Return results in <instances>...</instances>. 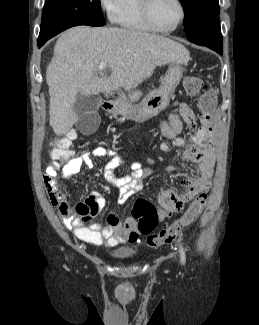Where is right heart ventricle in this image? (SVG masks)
Here are the masks:
<instances>
[{"label": "right heart ventricle", "mask_w": 259, "mask_h": 325, "mask_svg": "<svg viewBox=\"0 0 259 325\" xmlns=\"http://www.w3.org/2000/svg\"><path fill=\"white\" fill-rule=\"evenodd\" d=\"M113 20L123 28L139 32H150L142 16L140 0H120L119 8Z\"/></svg>", "instance_id": "obj_1"}]
</instances>
